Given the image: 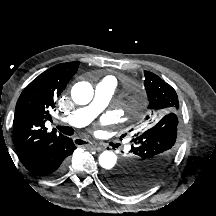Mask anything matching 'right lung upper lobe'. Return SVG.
Returning <instances> with one entry per match:
<instances>
[{"label": "right lung upper lobe", "instance_id": "cb5924a9", "mask_svg": "<svg viewBox=\"0 0 216 216\" xmlns=\"http://www.w3.org/2000/svg\"><path fill=\"white\" fill-rule=\"evenodd\" d=\"M79 61L61 63L34 79L21 93L15 108L13 135L18 157L23 165L29 164L56 140L63 138L53 129L47 131L49 110L76 73Z\"/></svg>", "mask_w": 216, "mask_h": 216}]
</instances>
